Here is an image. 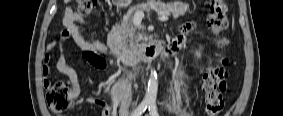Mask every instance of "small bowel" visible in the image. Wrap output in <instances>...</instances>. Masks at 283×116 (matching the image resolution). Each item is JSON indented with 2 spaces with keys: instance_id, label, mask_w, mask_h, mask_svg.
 <instances>
[{
  "instance_id": "c3829d8e",
  "label": "small bowel",
  "mask_w": 283,
  "mask_h": 116,
  "mask_svg": "<svg viewBox=\"0 0 283 116\" xmlns=\"http://www.w3.org/2000/svg\"><path fill=\"white\" fill-rule=\"evenodd\" d=\"M64 31L60 35V41L63 42L68 37H71L76 44L83 51L84 58L91 64L103 69L105 67L104 59L99 56L98 52H105L107 50L106 46L92 37L91 41H88L85 38L83 31L80 29V26H83L85 29L90 31L85 18L73 11L71 8H66L63 17ZM193 27L192 24H187L184 26L183 30H189ZM185 43V38L183 36L178 37L174 40L171 46L166 53L169 54L176 52L183 44ZM56 44L51 43L48 46V49L51 51L55 48ZM45 61L48 63L50 61V55L47 54ZM55 66L57 70L66 76L71 84L72 90L75 97H78L81 92V87L78 79L77 72L68 65L66 58L63 55H60L56 62ZM48 72V67H46V73ZM91 101L97 103L102 107L101 116H110L113 115L114 111L117 109L118 104L120 103V115L128 116V104L121 99L116 100L115 105H110L104 100L92 99Z\"/></svg>"
}]
</instances>
